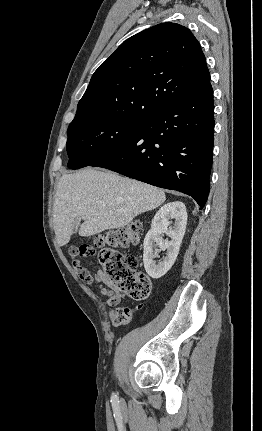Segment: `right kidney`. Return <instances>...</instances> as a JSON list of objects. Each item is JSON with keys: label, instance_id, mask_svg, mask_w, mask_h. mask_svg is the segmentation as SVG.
Returning <instances> with one entry per match:
<instances>
[{"label": "right kidney", "instance_id": "1", "mask_svg": "<svg viewBox=\"0 0 262 431\" xmlns=\"http://www.w3.org/2000/svg\"><path fill=\"white\" fill-rule=\"evenodd\" d=\"M170 219H174V226H170ZM187 224L186 207L182 202H170L162 206L155 214L151 229L144 239L143 262L147 274L154 278L165 275L173 266L178 256L180 245L185 234ZM163 233L170 236L171 241L162 238ZM159 247L166 250V257L156 264L154 250Z\"/></svg>", "mask_w": 262, "mask_h": 431}]
</instances>
